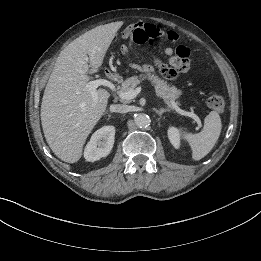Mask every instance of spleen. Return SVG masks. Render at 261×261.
Listing matches in <instances>:
<instances>
[{"label":"spleen","mask_w":261,"mask_h":261,"mask_svg":"<svg viewBox=\"0 0 261 261\" xmlns=\"http://www.w3.org/2000/svg\"><path fill=\"white\" fill-rule=\"evenodd\" d=\"M221 119L217 112L211 111L204 120V127L200 133H184V139L192 148V158L200 160L205 157L216 144L221 133Z\"/></svg>","instance_id":"1"}]
</instances>
